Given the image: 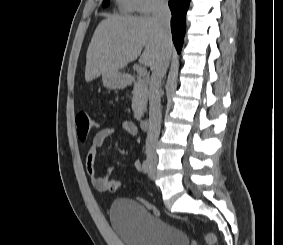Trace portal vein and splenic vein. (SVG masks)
<instances>
[{
	"instance_id": "1",
	"label": "portal vein and splenic vein",
	"mask_w": 283,
	"mask_h": 245,
	"mask_svg": "<svg viewBox=\"0 0 283 245\" xmlns=\"http://www.w3.org/2000/svg\"><path fill=\"white\" fill-rule=\"evenodd\" d=\"M136 70L139 76H145L147 73V70L144 66H138Z\"/></svg>"
}]
</instances>
